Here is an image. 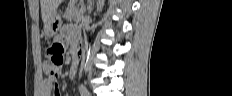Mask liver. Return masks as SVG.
<instances>
[{
  "label": "liver",
  "instance_id": "liver-1",
  "mask_svg": "<svg viewBox=\"0 0 232 96\" xmlns=\"http://www.w3.org/2000/svg\"><path fill=\"white\" fill-rule=\"evenodd\" d=\"M62 0H41V15L44 26L49 22L52 15L55 13L57 7Z\"/></svg>",
  "mask_w": 232,
  "mask_h": 96
}]
</instances>
